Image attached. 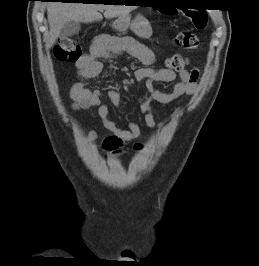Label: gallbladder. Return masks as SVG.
Masks as SVG:
<instances>
[{"label":"gallbladder","mask_w":259,"mask_h":266,"mask_svg":"<svg viewBox=\"0 0 259 266\" xmlns=\"http://www.w3.org/2000/svg\"><path fill=\"white\" fill-rule=\"evenodd\" d=\"M81 29V26L78 22H68L64 25V27L61 29L60 37H69L74 34H77Z\"/></svg>","instance_id":"obj_1"}]
</instances>
